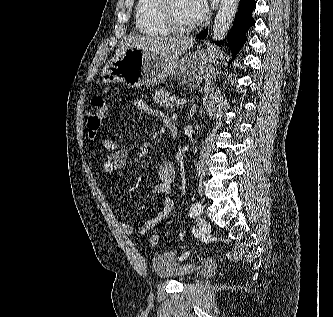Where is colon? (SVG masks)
<instances>
[{
  "label": "colon",
  "mask_w": 333,
  "mask_h": 317,
  "mask_svg": "<svg viewBox=\"0 0 333 317\" xmlns=\"http://www.w3.org/2000/svg\"><path fill=\"white\" fill-rule=\"evenodd\" d=\"M108 105L105 98L96 96L93 97L90 101L88 108V116H87V127L89 131L90 138H94L98 133L102 122L107 114ZM150 243L153 246L158 245L159 236L152 235L150 238Z\"/></svg>",
  "instance_id": "5ec220e1"
}]
</instances>
